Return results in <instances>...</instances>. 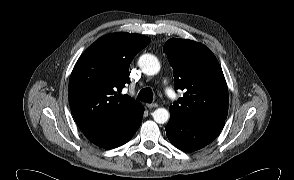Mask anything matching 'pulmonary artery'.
<instances>
[{
	"instance_id": "1",
	"label": "pulmonary artery",
	"mask_w": 294,
	"mask_h": 180,
	"mask_svg": "<svg viewBox=\"0 0 294 180\" xmlns=\"http://www.w3.org/2000/svg\"><path fill=\"white\" fill-rule=\"evenodd\" d=\"M166 94L170 99L175 98V94L171 90H169L168 88H166Z\"/></svg>"
}]
</instances>
